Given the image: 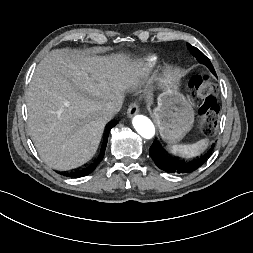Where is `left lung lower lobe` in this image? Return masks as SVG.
Masks as SVG:
<instances>
[{"label": "left lung lower lobe", "instance_id": "left-lung-lower-lobe-1", "mask_svg": "<svg viewBox=\"0 0 253 253\" xmlns=\"http://www.w3.org/2000/svg\"><path fill=\"white\" fill-rule=\"evenodd\" d=\"M196 58L200 63L205 64L209 68V70L216 76L215 70L207 57ZM213 148L214 145L203 156L194 158L192 160L183 161L168 157L159 147L157 140H155L150 147V156L154 160L156 166L167 173L188 174L196 171L207 161V159L212 153Z\"/></svg>", "mask_w": 253, "mask_h": 253}]
</instances>
